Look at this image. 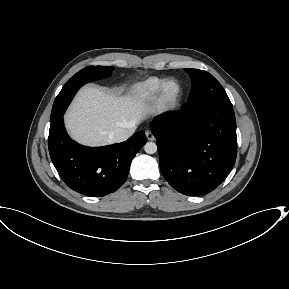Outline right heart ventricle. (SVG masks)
Masks as SVG:
<instances>
[{"label":"right heart ventricle","mask_w":289,"mask_h":289,"mask_svg":"<svg viewBox=\"0 0 289 289\" xmlns=\"http://www.w3.org/2000/svg\"><path fill=\"white\" fill-rule=\"evenodd\" d=\"M164 78L150 77L135 86L134 95L137 99L148 100L154 98L159 91Z\"/></svg>","instance_id":"1"}]
</instances>
